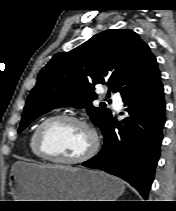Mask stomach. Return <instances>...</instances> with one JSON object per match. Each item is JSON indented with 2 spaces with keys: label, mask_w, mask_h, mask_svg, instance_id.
Returning <instances> with one entry per match:
<instances>
[{
  "label": "stomach",
  "mask_w": 176,
  "mask_h": 211,
  "mask_svg": "<svg viewBox=\"0 0 176 211\" xmlns=\"http://www.w3.org/2000/svg\"><path fill=\"white\" fill-rule=\"evenodd\" d=\"M16 201H116L123 182L101 171L16 162L9 181Z\"/></svg>",
  "instance_id": "1"
}]
</instances>
